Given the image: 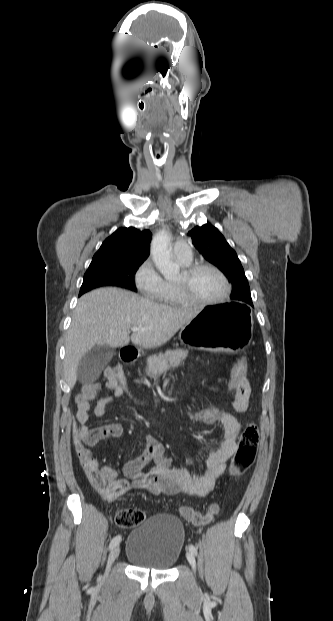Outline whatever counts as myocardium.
<instances>
[{
    "instance_id": "1",
    "label": "myocardium",
    "mask_w": 333,
    "mask_h": 621,
    "mask_svg": "<svg viewBox=\"0 0 333 621\" xmlns=\"http://www.w3.org/2000/svg\"><path fill=\"white\" fill-rule=\"evenodd\" d=\"M202 270H211L215 272L222 279L225 285V290L220 297L216 299H211V300H202V299L195 298L191 294L190 289H189L190 279L196 273ZM182 274H183V278L179 281H175V285H176V289L180 297L188 304L199 305V306L216 305V304H220L226 301L231 294L232 285L228 277L225 275V273L220 268H218L217 266L213 264H210V263L192 264V265L185 267L182 270Z\"/></svg>"
}]
</instances>
